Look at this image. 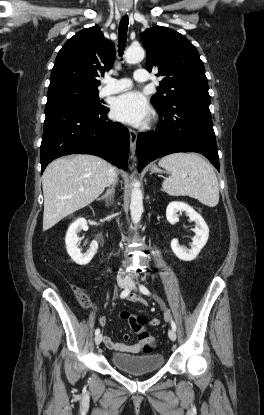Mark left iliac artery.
Here are the masks:
<instances>
[{"instance_id":"obj_1","label":"left iliac artery","mask_w":264,"mask_h":415,"mask_svg":"<svg viewBox=\"0 0 264 415\" xmlns=\"http://www.w3.org/2000/svg\"><path fill=\"white\" fill-rule=\"evenodd\" d=\"M139 288H140V291L143 293V294H145V295H150V291L144 286V285H140L139 286ZM171 327H172V329L173 330H175L176 331V324H175V322H174V320L173 319H171Z\"/></svg>"}]
</instances>
